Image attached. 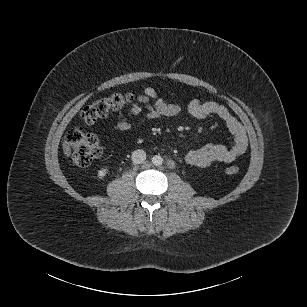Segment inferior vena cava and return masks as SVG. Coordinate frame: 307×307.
Returning <instances> with one entry per match:
<instances>
[{
    "label": "inferior vena cava",
    "mask_w": 307,
    "mask_h": 307,
    "mask_svg": "<svg viewBox=\"0 0 307 307\" xmlns=\"http://www.w3.org/2000/svg\"><path fill=\"white\" fill-rule=\"evenodd\" d=\"M146 160V153L142 149H138L133 151L132 153V161L133 163L140 164Z\"/></svg>",
    "instance_id": "1"
}]
</instances>
